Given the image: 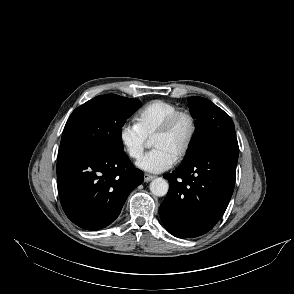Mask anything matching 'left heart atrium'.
Listing matches in <instances>:
<instances>
[{
	"instance_id": "obj_1",
	"label": "left heart atrium",
	"mask_w": 294,
	"mask_h": 294,
	"mask_svg": "<svg viewBox=\"0 0 294 294\" xmlns=\"http://www.w3.org/2000/svg\"><path fill=\"white\" fill-rule=\"evenodd\" d=\"M175 161L176 157L163 148H154L137 163V166L147 172L161 173L171 168Z\"/></svg>"
}]
</instances>
